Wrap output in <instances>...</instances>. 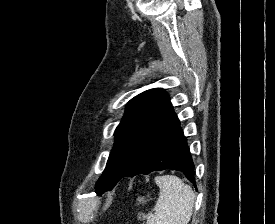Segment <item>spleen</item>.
I'll list each match as a JSON object with an SVG mask.
<instances>
[{
    "mask_svg": "<svg viewBox=\"0 0 275 224\" xmlns=\"http://www.w3.org/2000/svg\"><path fill=\"white\" fill-rule=\"evenodd\" d=\"M159 197L146 224H188L195 204L192 188L174 175L156 176Z\"/></svg>",
    "mask_w": 275,
    "mask_h": 224,
    "instance_id": "1",
    "label": "spleen"
}]
</instances>
